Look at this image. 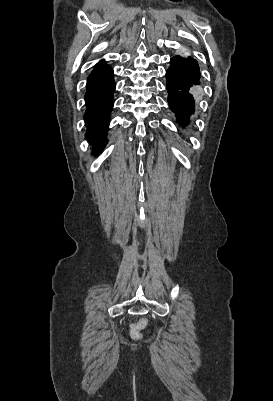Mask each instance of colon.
Listing matches in <instances>:
<instances>
[{
  "instance_id": "5ec220e1",
  "label": "colon",
  "mask_w": 273,
  "mask_h": 401,
  "mask_svg": "<svg viewBox=\"0 0 273 401\" xmlns=\"http://www.w3.org/2000/svg\"><path fill=\"white\" fill-rule=\"evenodd\" d=\"M149 321L147 319H139L134 322L132 329L129 330L128 335L132 342H139L141 339V328H147Z\"/></svg>"
}]
</instances>
